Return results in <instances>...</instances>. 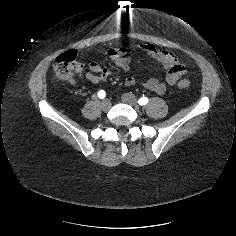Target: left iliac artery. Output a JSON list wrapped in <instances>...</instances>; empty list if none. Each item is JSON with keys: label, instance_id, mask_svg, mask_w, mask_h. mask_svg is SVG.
<instances>
[{"label": "left iliac artery", "instance_id": "obj_1", "mask_svg": "<svg viewBox=\"0 0 236 236\" xmlns=\"http://www.w3.org/2000/svg\"><path fill=\"white\" fill-rule=\"evenodd\" d=\"M148 103V98L147 97H142L138 100L139 105H146Z\"/></svg>", "mask_w": 236, "mask_h": 236}]
</instances>
